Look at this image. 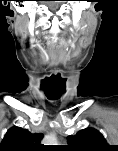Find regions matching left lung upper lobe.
I'll use <instances>...</instances> for the list:
<instances>
[{"instance_id": "5c2ea615", "label": "left lung upper lobe", "mask_w": 118, "mask_h": 151, "mask_svg": "<svg viewBox=\"0 0 118 151\" xmlns=\"http://www.w3.org/2000/svg\"><path fill=\"white\" fill-rule=\"evenodd\" d=\"M67 140L71 151H101L109 146L103 135L93 128L81 130L74 136H68Z\"/></svg>"}]
</instances>
